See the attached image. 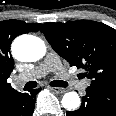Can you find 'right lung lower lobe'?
Listing matches in <instances>:
<instances>
[{
    "mask_svg": "<svg viewBox=\"0 0 116 116\" xmlns=\"http://www.w3.org/2000/svg\"><path fill=\"white\" fill-rule=\"evenodd\" d=\"M40 90L15 93L0 110V116H31L35 107L36 95Z\"/></svg>",
    "mask_w": 116,
    "mask_h": 116,
    "instance_id": "obj_1",
    "label": "right lung lower lobe"
}]
</instances>
